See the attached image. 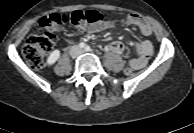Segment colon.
Masks as SVG:
<instances>
[{
	"label": "colon",
	"instance_id": "1",
	"mask_svg": "<svg viewBox=\"0 0 194 133\" xmlns=\"http://www.w3.org/2000/svg\"><path fill=\"white\" fill-rule=\"evenodd\" d=\"M70 23L76 30L82 31L87 27L104 23V15L96 10H76L70 14L57 13L40 19L39 24L44 29L41 34L30 35L23 43L21 52L31 67L42 68L45 56L52 50L61 27ZM130 65L124 69L127 77L134 75Z\"/></svg>",
	"mask_w": 194,
	"mask_h": 133
}]
</instances>
